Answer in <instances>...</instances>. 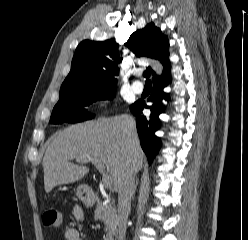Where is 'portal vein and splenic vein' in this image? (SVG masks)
Listing matches in <instances>:
<instances>
[{"instance_id": "18ae733b", "label": "portal vein and splenic vein", "mask_w": 248, "mask_h": 240, "mask_svg": "<svg viewBox=\"0 0 248 240\" xmlns=\"http://www.w3.org/2000/svg\"><path fill=\"white\" fill-rule=\"evenodd\" d=\"M87 161H92V163L97 167V169L102 173V181L105 185V187L110 188L113 182L112 177L105 173V167L102 163L98 161H93V160H87Z\"/></svg>"}]
</instances>
